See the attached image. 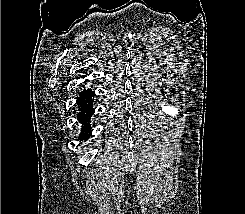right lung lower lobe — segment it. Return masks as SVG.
<instances>
[{
  "mask_svg": "<svg viewBox=\"0 0 245 214\" xmlns=\"http://www.w3.org/2000/svg\"><path fill=\"white\" fill-rule=\"evenodd\" d=\"M94 95L95 93L89 89L83 90V92L80 93V97L78 98L77 101L80 109V112L78 113V118L80 119L82 125H84L81 135L79 136V139L81 140L83 139L87 140L91 135L89 118L94 113V109L92 108Z\"/></svg>",
  "mask_w": 245,
  "mask_h": 214,
  "instance_id": "98d812e1",
  "label": "right lung lower lobe"
}]
</instances>
